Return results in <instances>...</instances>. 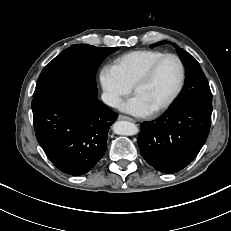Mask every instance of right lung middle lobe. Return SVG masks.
I'll use <instances>...</instances> for the list:
<instances>
[{"label":"right lung middle lobe","instance_id":"obj_1","mask_svg":"<svg viewBox=\"0 0 231 231\" xmlns=\"http://www.w3.org/2000/svg\"><path fill=\"white\" fill-rule=\"evenodd\" d=\"M118 48L75 44L64 50L41 72L33 98L64 90L97 95L95 74L105 57Z\"/></svg>","mask_w":231,"mask_h":231}]
</instances>
